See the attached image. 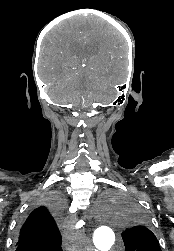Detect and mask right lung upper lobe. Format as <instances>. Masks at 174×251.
Instances as JSON below:
<instances>
[{"label":"right lung upper lobe","mask_w":174,"mask_h":251,"mask_svg":"<svg viewBox=\"0 0 174 251\" xmlns=\"http://www.w3.org/2000/svg\"><path fill=\"white\" fill-rule=\"evenodd\" d=\"M59 231V213L51 207L37 206L21 225L15 240V247L28 245L30 251H62Z\"/></svg>","instance_id":"right-lung-upper-lobe-1"}]
</instances>
